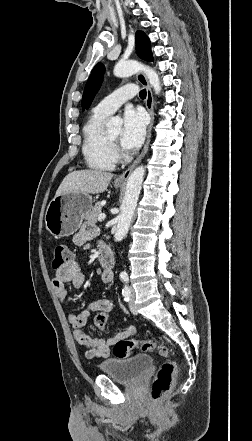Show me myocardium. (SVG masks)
I'll return each instance as SVG.
<instances>
[{
	"instance_id": "obj_1",
	"label": "myocardium",
	"mask_w": 252,
	"mask_h": 441,
	"mask_svg": "<svg viewBox=\"0 0 252 441\" xmlns=\"http://www.w3.org/2000/svg\"><path fill=\"white\" fill-rule=\"evenodd\" d=\"M106 139H107V142L109 143V145L111 146V148L114 151V149L117 147V143L115 141L111 140L108 135H106Z\"/></svg>"
}]
</instances>
